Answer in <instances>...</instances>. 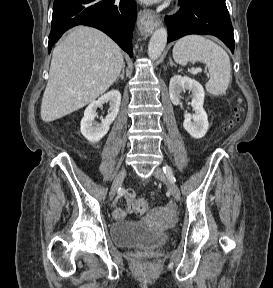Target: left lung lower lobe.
<instances>
[{
	"mask_svg": "<svg viewBox=\"0 0 273 288\" xmlns=\"http://www.w3.org/2000/svg\"><path fill=\"white\" fill-rule=\"evenodd\" d=\"M180 10L166 16L168 42L188 34L214 35L234 53V35L225 0H179Z\"/></svg>",
	"mask_w": 273,
	"mask_h": 288,
	"instance_id": "0a47b994",
	"label": "left lung lower lobe"
}]
</instances>
